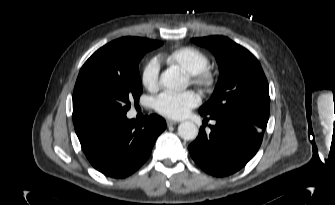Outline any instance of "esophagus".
<instances>
[{
    "label": "esophagus",
    "mask_w": 335,
    "mask_h": 205,
    "mask_svg": "<svg viewBox=\"0 0 335 205\" xmlns=\"http://www.w3.org/2000/svg\"><path fill=\"white\" fill-rule=\"evenodd\" d=\"M166 122H167V125H168V126H171V125H176V124H178V123H179L178 121L171 120V119H168Z\"/></svg>",
    "instance_id": "1"
}]
</instances>
